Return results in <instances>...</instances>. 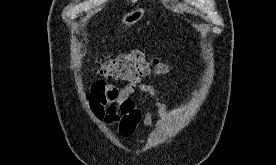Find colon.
<instances>
[{
  "label": "colon",
  "instance_id": "obj_1",
  "mask_svg": "<svg viewBox=\"0 0 276 165\" xmlns=\"http://www.w3.org/2000/svg\"><path fill=\"white\" fill-rule=\"evenodd\" d=\"M96 72L108 79L129 81L150 75L158 60L142 50L120 54L113 58L98 59Z\"/></svg>",
  "mask_w": 276,
  "mask_h": 165
}]
</instances>
